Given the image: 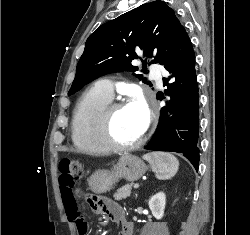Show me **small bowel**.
<instances>
[{
    "label": "small bowel",
    "mask_w": 250,
    "mask_h": 235,
    "mask_svg": "<svg viewBox=\"0 0 250 235\" xmlns=\"http://www.w3.org/2000/svg\"><path fill=\"white\" fill-rule=\"evenodd\" d=\"M60 193L63 207L68 219L76 225L79 235H86L88 231V225L78 212L72 189L69 187H62L60 185ZM88 207L91 211L104 213L112 221L120 223L121 230L119 235H133L132 224L126 220L123 209L116 202L107 199H99L88 202Z\"/></svg>",
    "instance_id": "small-bowel-1"
}]
</instances>
